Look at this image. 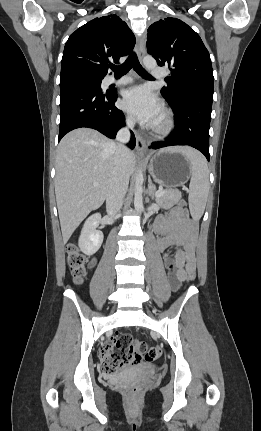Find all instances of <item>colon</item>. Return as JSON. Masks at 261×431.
<instances>
[{
	"label": "colon",
	"instance_id": "obj_1",
	"mask_svg": "<svg viewBox=\"0 0 261 431\" xmlns=\"http://www.w3.org/2000/svg\"><path fill=\"white\" fill-rule=\"evenodd\" d=\"M181 208L186 206L185 201L179 203ZM67 263L70 268L73 279L76 283H81L87 274V259L75 243H69L66 247ZM195 272L190 270L187 276L188 281H192ZM141 343L135 341L131 335L122 333L117 335L103 352L104 359L102 370L109 375L117 374L123 367L138 364L142 359L147 362L156 360L161 352V345L156 343L150 347L146 355L140 354L139 346ZM139 387H133L130 390L132 395L139 392Z\"/></svg>",
	"mask_w": 261,
	"mask_h": 431
}]
</instances>
